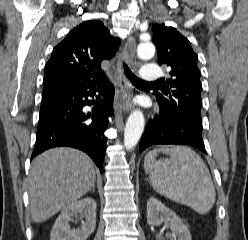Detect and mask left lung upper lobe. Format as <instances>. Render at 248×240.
Wrapping results in <instances>:
<instances>
[{
  "label": "left lung upper lobe",
  "instance_id": "obj_1",
  "mask_svg": "<svg viewBox=\"0 0 248 240\" xmlns=\"http://www.w3.org/2000/svg\"><path fill=\"white\" fill-rule=\"evenodd\" d=\"M152 29L159 63L171 68V78L164 81L167 86L155 91L160 111L176 116H201L202 85L198 57L190 42L173 27L155 24Z\"/></svg>",
  "mask_w": 248,
  "mask_h": 240
}]
</instances>
